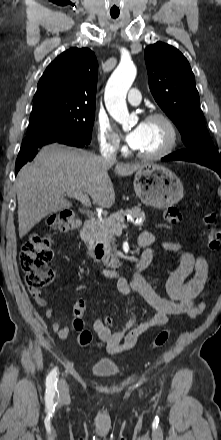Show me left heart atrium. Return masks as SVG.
Wrapping results in <instances>:
<instances>
[{
  "instance_id": "left-heart-atrium-1",
  "label": "left heart atrium",
  "mask_w": 221,
  "mask_h": 440,
  "mask_svg": "<svg viewBox=\"0 0 221 440\" xmlns=\"http://www.w3.org/2000/svg\"><path fill=\"white\" fill-rule=\"evenodd\" d=\"M146 132V122H139L126 136L129 145L138 149L143 141Z\"/></svg>"
}]
</instances>
